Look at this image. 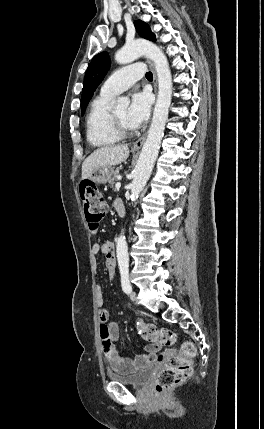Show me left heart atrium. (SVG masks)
Listing matches in <instances>:
<instances>
[{"mask_svg":"<svg viewBox=\"0 0 264 429\" xmlns=\"http://www.w3.org/2000/svg\"><path fill=\"white\" fill-rule=\"evenodd\" d=\"M152 99L147 92H136L132 95L127 110V121L132 128H138L149 117Z\"/></svg>","mask_w":264,"mask_h":429,"instance_id":"1","label":"left heart atrium"}]
</instances>
